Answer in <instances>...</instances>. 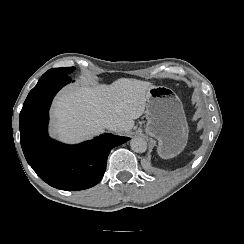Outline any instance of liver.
Instances as JSON below:
<instances>
[{"label":"liver","mask_w":244,"mask_h":244,"mask_svg":"<svg viewBox=\"0 0 244 244\" xmlns=\"http://www.w3.org/2000/svg\"><path fill=\"white\" fill-rule=\"evenodd\" d=\"M147 81L121 78L110 85L92 83L62 90L51 109L50 136L66 143L79 142L104 131L102 120L121 125L128 132L145 110Z\"/></svg>","instance_id":"liver-1"}]
</instances>
